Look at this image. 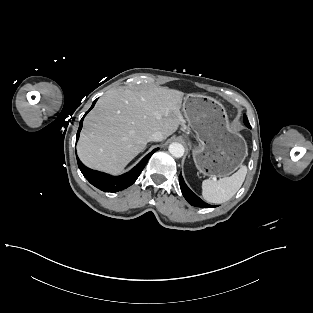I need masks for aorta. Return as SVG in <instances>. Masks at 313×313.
<instances>
[{
  "instance_id": "1",
  "label": "aorta",
  "mask_w": 313,
  "mask_h": 313,
  "mask_svg": "<svg viewBox=\"0 0 313 313\" xmlns=\"http://www.w3.org/2000/svg\"><path fill=\"white\" fill-rule=\"evenodd\" d=\"M184 146L180 143L174 142L169 145V152L172 156L180 158L184 155Z\"/></svg>"
}]
</instances>
